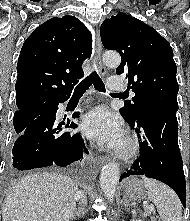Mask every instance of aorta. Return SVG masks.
<instances>
[{
    "label": "aorta",
    "mask_w": 190,
    "mask_h": 221,
    "mask_svg": "<svg viewBox=\"0 0 190 221\" xmlns=\"http://www.w3.org/2000/svg\"><path fill=\"white\" fill-rule=\"evenodd\" d=\"M120 56L117 53H106L103 62L107 66L116 67L120 64ZM120 177L119 166L116 163L107 164L100 174V186L104 196L112 202L116 193L117 183Z\"/></svg>",
    "instance_id": "1"
}]
</instances>
